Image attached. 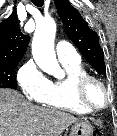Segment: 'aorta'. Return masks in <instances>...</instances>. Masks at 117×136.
<instances>
[{
  "instance_id": "aorta-1",
  "label": "aorta",
  "mask_w": 117,
  "mask_h": 136,
  "mask_svg": "<svg viewBox=\"0 0 117 136\" xmlns=\"http://www.w3.org/2000/svg\"><path fill=\"white\" fill-rule=\"evenodd\" d=\"M56 23L53 18L45 17L36 25L32 41V54L37 65L46 73L61 77V69L54 51Z\"/></svg>"
}]
</instances>
